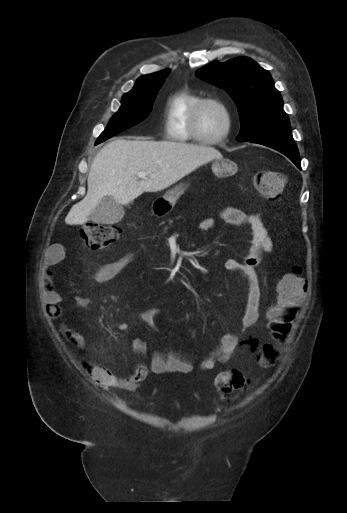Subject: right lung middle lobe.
Wrapping results in <instances>:
<instances>
[{
  "label": "right lung middle lobe",
  "instance_id": "1",
  "mask_svg": "<svg viewBox=\"0 0 347 513\" xmlns=\"http://www.w3.org/2000/svg\"><path fill=\"white\" fill-rule=\"evenodd\" d=\"M164 80L147 82L126 93L119 111L111 118L97 141L101 143L145 119L152 110L153 102Z\"/></svg>",
  "mask_w": 347,
  "mask_h": 513
}]
</instances>
